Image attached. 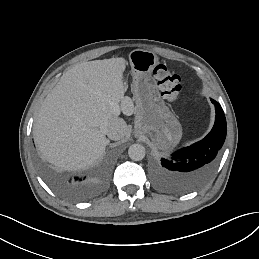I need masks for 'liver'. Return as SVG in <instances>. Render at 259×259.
Segmentation results:
<instances>
[{
  "instance_id": "1",
  "label": "liver",
  "mask_w": 259,
  "mask_h": 259,
  "mask_svg": "<svg viewBox=\"0 0 259 259\" xmlns=\"http://www.w3.org/2000/svg\"><path fill=\"white\" fill-rule=\"evenodd\" d=\"M124 58L94 60L76 65L61 76L43 101L33 124V138L42 159L61 170L92 165L105 151L109 140L100 126L122 110ZM121 102V105L119 104Z\"/></svg>"
}]
</instances>
